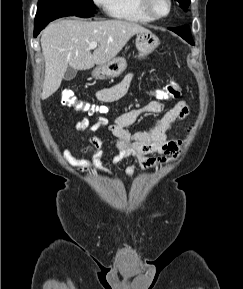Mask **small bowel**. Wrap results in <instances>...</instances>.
Segmentation results:
<instances>
[{
	"label": "small bowel",
	"mask_w": 243,
	"mask_h": 289,
	"mask_svg": "<svg viewBox=\"0 0 243 289\" xmlns=\"http://www.w3.org/2000/svg\"><path fill=\"white\" fill-rule=\"evenodd\" d=\"M132 80L133 74L129 73L119 84L98 91L97 99L107 103L118 100L128 91ZM164 108L165 106L160 100H155L142 107L127 111L113 118L110 122L105 117H99L96 122L91 123L88 118L84 117L75 123V128L87 134L90 146L82 147L81 151L91 153V159H74L68 150L64 151V156L76 164L83 173H89L93 170L107 173V170L102 166L104 156L102 141L94 136L95 132L107 127L117 149V152L110 158L113 165H118L128 158L145 168L172 162L181 154L184 139H168L167 134L177 120H183L188 116L189 107L185 101H178L172 108L168 109L151 129L137 132L128 130L141 116L160 114ZM154 154L162 155V157H149ZM131 172L132 168L129 167L127 173L130 174Z\"/></svg>",
	"instance_id": "c3829d8e"
}]
</instances>
